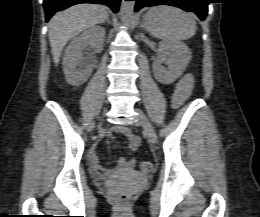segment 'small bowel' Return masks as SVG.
Instances as JSON below:
<instances>
[{"label":"small bowel","instance_id":"1","mask_svg":"<svg viewBox=\"0 0 260 217\" xmlns=\"http://www.w3.org/2000/svg\"><path fill=\"white\" fill-rule=\"evenodd\" d=\"M193 86V76L190 73H185L176 84V89L174 93L173 103L176 107L180 106L184 99L190 94ZM116 132L122 133L129 138V149L130 151H136L140 147V139L134 135L130 129L126 127H120L115 129ZM89 163L93 172L99 178H109L112 176V172L101 167L99 165L98 155L96 153H91L89 155ZM136 166V160L134 158L125 159L121 158L114 172L116 173H129L134 171Z\"/></svg>","mask_w":260,"mask_h":217}]
</instances>
